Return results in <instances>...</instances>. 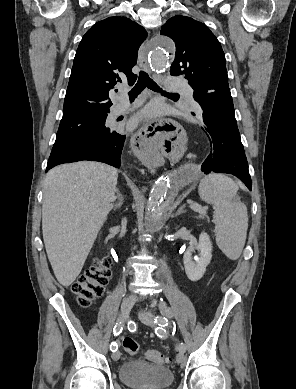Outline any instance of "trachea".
Returning <instances> with one entry per match:
<instances>
[{"label": "trachea", "instance_id": "obj_1", "mask_svg": "<svg viewBox=\"0 0 296 389\" xmlns=\"http://www.w3.org/2000/svg\"><path fill=\"white\" fill-rule=\"evenodd\" d=\"M146 87L152 91L161 92L163 94H174L162 91V89L149 77L146 72L140 71L137 83L129 92L130 99L137 97Z\"/></svg>", "mask_w": 296, "mask_h": 389}]
</instances>
